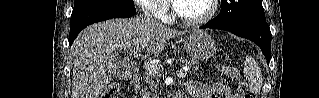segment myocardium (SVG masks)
<instances>
[{
	"label": "myocardium",
	"mask_w": 319,
	"mask_h": 98,
	"mask_svg": "<svg viewBox=\"0 0 319 98\" xmlns=\"http://www.w3.org/2000/svg\"><path fill=\"white\" fill-rule=\"evenodd\" d=\"M208 1H209V10L207 11L206 14H204L201 17L194 18V19L186 18L183 15H181L177 10H174V15L179 21H181L182 23L188 26H200V25L206 24L215 16L218 10V3H219L218 0H208Z\"/></svg>",
	"instance_id": "myocardium-1"
}]
</instances>
